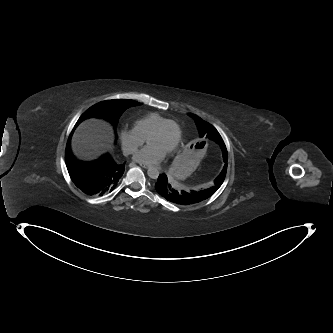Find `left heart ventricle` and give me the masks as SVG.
<instances>
[{
	"mask_svg": "<svg viewBox=\"0 0 333 333\" xmlns=\"http://www.w3.org/2000/svg\"><path fill=\"white\" fill-rule=\"evenodd\" d=\"M176 139L177 129L173 125H169L162 133L152 136L149 139V143L155 144L160 148L168 151Z\"/></svg>",
	"mask_w": 333,
	"mask_h": 333,
	"instance_id": "left-heart-ventricle-1",
	"label": "left heart ventricle"
}]
</instances>
